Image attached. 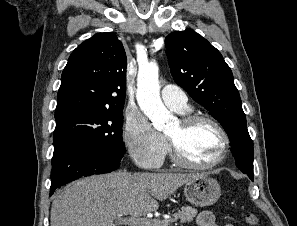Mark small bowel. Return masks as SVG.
Wrapping results in <instances>:
<instances>
[{
	"label": "small bowel",
	"mask_w": 297,
	"mask_h": 226,
	"mask_svg": "<svg viewBox=\"0 0 297 226\" xmlns=\"http://www.w3.org/2000/svg\"><path fill=\"white\" fill-rule=\"evenodd\" d=\"M198 226H218L215 217L210 211H203L197 217ZM224 226H233L231 223H226Z\"/></svg>",
	"instance_id": "obj_1"
}]
</instances>
